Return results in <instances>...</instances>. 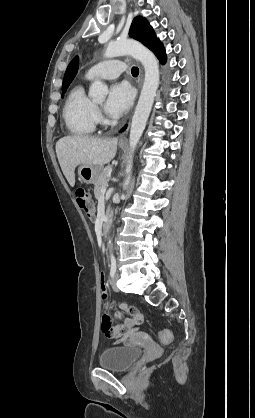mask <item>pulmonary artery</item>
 <instances>
[{
  "instance_id": "pulmonary-artery-1",
  "label": "pulmonary artery",
  "mask_w": 255,
  "mask_h": 418,
  "mask_svg": "<svg viewBox=\"0 0 255 418\" xmlns=\"http://www.w3.org/2000/svg\"><path fill=\"white\" fill-rule=\"evenodd\" d=\"M126 69L125 63L118 59L107 60L95 64L86 73L88 79L103 78L114 79L117 78Z\"/></svg>"
}]
</instances>
